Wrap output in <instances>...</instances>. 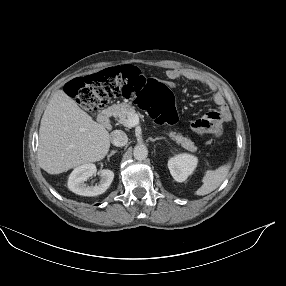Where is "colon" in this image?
Instances as JSON below:
<instances>
[{"instance_id":"1","label":"colon","mask_w":286,"mask_h":286,"mask_svg":"<svg viewBox=\"0 0 286 286\" xmlns=\"http://www.w3.org/2000/svg\"><path fill=\"white\" fill-rule=\"evenodd\" d=\"M67 91L91 113L100 110L114 97L136 98L158 123L177 121L174 96L168 86L159 80L145 77L133 66L108 68L74 79L68 84ZM213 112H207L193 123L196 133L214 137L221 135L223 121Z\"/></svg>"}]
</instances>
